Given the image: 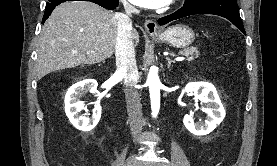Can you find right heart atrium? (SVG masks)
<instances>
[{
	"label": "right heart atrium",
	"mask_w": 277,
	"mask_h": 166,
	"mask_svg": "<svg viewBox=\"0 0 277 166\" xmlns=\"http://www.w3.org/2000/svg\"><path fill=\"white\" fill-rule=\"evenodd\" d=\"M123 4L125 5V7L127 8H131V6L126 2V0H122Z\"/></svg>",
	"instance_id": "1"
}]
</instances>
